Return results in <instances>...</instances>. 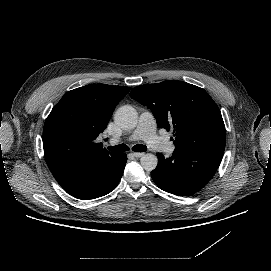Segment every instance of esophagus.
<instances>
[{
	"label": "esophagus",
	"mask_w": 271,
	"mask_h": 271,
	"mask_svg": "<svg viewBox=\"0 0 271 271\" xmlns=\"http://www.w3.org/2000/svg\"><path fill=\"white\" fill-rule=\"evenodd\" d=\"M132 155L135 157V158H140L144 155V153L142 152H133Z\"/></svg>",
	"instance_id": "esophagus-1"
}]
</instances>
